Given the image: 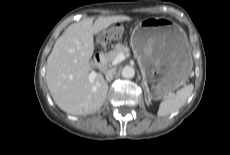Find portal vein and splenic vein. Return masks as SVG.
<instances>
[{
	"instance_id": "portal-vein-and-splenic-vein-1",
	"label": "portal vein and splenic vein",
	"mask_w": 230,
	"mask_h": 155,
	"mask_svg": "<svg viewBox=\"0 0 230 155\" xmlns=\"http://www.w3.org/2000/svg\"><path fill=\"white\" fill-rule=\"evenodd\" d=\"M126 59V56L122 53L118 54L116 58L113 60L112 64L117 65ZM96 77V72L92 71L89 75V80L92 81Z\"/></svg>"
}]
</instances>
